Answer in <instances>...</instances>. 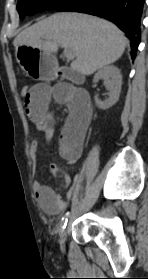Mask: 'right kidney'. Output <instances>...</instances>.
Here are the masks:
<instances>
[{
	"instance_id": "ca27d5eb",
	"label": "right kidney",
	"mask_w": 148,
	"mask_h": 279,
	"mask_svg": "<svg viewBox=\"0 0 148 279\" xmlns=\"http://www.w3.org/2000/svg\"><path fill=\"white\" fill-rule=\"evenodd\" d=\"M101 79L104 80L105 86L110 92V96L105 101H101L97 96H95V103L98 108L107 110L112 107L119 99L122 85V75L120 74V70L117 67L110 65L103 67L94 75V86H96V83Z\"/></svg>"
}]
</instances>
